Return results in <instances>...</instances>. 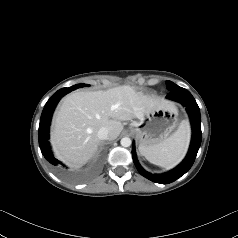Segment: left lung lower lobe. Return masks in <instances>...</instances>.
Listing matches in <instances>:
<instances>
[{"mask_svg":"<svg viewBox=\"0 0 238 238\" xmlns=\"http://www.w3.org/2000/svg\"><path fill=\"white\" fill-rule=\"evenodd\" d=\"M167 98L178 101L183 104V106L186 107V110L190 116L192 125V140L186 158L180 165H178L175 169L169 171L168 173L153 175L151 173L146 172L140 166L136 157L134 145L132 147V157L138 172L145 178L160 184H168L177 180L191 168L201 145L202 138L200 110L191 93L182 87H178L174 90H171L167 94Z\"/></svg>","mask_w":238,"mask_h":238,"instance_id":"1","label":"left lung lower lobe"}]
</instances>
